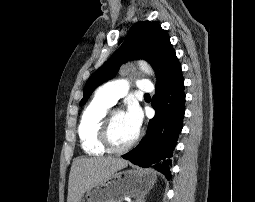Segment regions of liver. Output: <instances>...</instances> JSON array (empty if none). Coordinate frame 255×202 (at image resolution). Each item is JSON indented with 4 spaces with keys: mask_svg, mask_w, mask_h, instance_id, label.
I'll list each match as a JSON object with an SVG mask.
<instances>
[{
    "mask_svg": "<svg viewBox=\"0 0 255 202\" xmlns=\"http://www.w3.org/2000/svg\"><path fill=\"white\" fill-rule=\"evenodd\" d=\"M127 165L128 161L115 157L75 159L69 174L67 202H79L90 187Z\"/></svg>",
    "mask_w": 255,
    "mask_h": 202,
    "instance_id": "6515ba94",
    "label": "liver"
}]
</instances>
